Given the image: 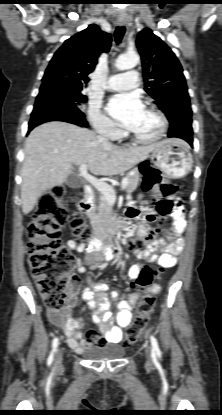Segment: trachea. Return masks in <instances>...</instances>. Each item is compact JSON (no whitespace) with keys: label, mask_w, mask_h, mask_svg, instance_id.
Returning a JSON list of instances; mask_svg holds the SVG:
<instances>
[{"label":"trachea","mask_w":222,"mask_h":415,"mask_svg":"<svg viewBox=\"0 0 222 415\" xmlns=\"http://www.w3.org/2000/svg\"><path fill=\"white\" fill-rule=\"evenodd\" d=\"M124 34H125V27L124 26L116 28V30H115V41H116L117 45H119L121 43Z\"/></svg>","instance_id":"obj_1"}]
</instances>
